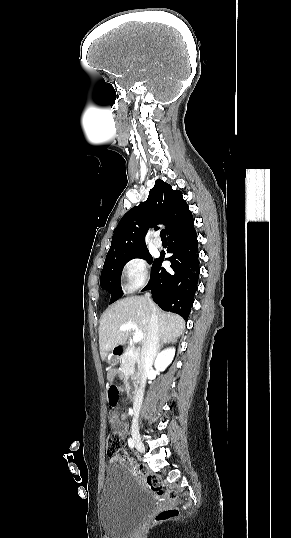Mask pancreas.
Here are the masks:
<instances>
[{"mask_svg":"<svg viewBox=\"0 0 291 538\" xmlns=\"http://www.w3.org/2000/svg\"><path fill=\"white\" fill-rule=\"evenodd\" d=\"M134 355V351H132L131 349H127L125 354L120 358L122 362L121 367L123 369H126L128 365H131V362L134 359Z\"/></svg>","mask_w":291,"mask_h":538,"instance_id":"obj_1","label":"pancreas"}]
</instances>
